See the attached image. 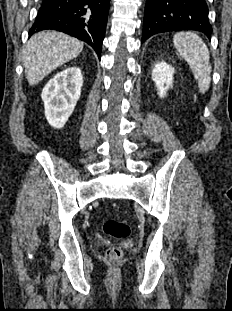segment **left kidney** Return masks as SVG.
I'll use <instances>...</instances> for the list:
<instances>
[{
    "instance_id": "left-kidney-1",
    "label": "left kidney",
    "mask_w": 232,
    "mask_h": 311,
    "mask_svg": "<svg viewBox=\"0 0 232 311\" xmlns=\"http://www.w3.org/2000/svg\"><path fill=\"white\" fill-rule=\"evenodd\" d=\"M173 74L174 68L165 61L157 63L153 68L152 80L155 82L160 98H164L166 96V91L172 87Z\"/></svg>"
}]
</instances>
